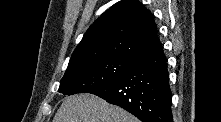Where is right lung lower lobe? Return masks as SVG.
<instances>
[{
    "mask_svg": "<svg viewBox=\"0 0 221 122\" xmlns=\"http://www.w3.org/2000/svg\"><path fill=\"white\" fill-rule=\"evenodd\" d=\"M91 93L142 122H173L166 56L160 43L138 57L118 80Z\"/></svg>",
    "mask_w": 221,
    "mask_h": 122,
    "instance_id": "1",
    "label": "right lung lower lobe"
}]
</instances>
